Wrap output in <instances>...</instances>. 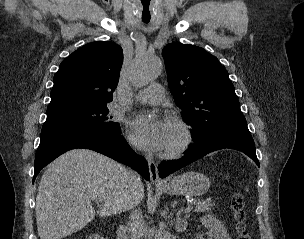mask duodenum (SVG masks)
I'll use <instances>...</instances> for the list:
<instances>
[{
	"label": "duodenum",
	"mask_w": 304,
	"mask_h": 239,
	"mask_svg": "<svg viewBox=\"0 0 304 239\" xmlns=\"http://www.w3.org/2000/svg\"><path fill=\"white\" fill-rule=\"evenodd\" d=\"M116 239H127V237H126V228L124 226H120L117 229Z\"/></svg>",
	"instance_id": "1"
}]
</instances>
